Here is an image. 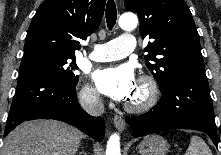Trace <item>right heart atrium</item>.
I'll use <instances>...</instances> for the list:
<instances>
[{"label":"right heart atrium","instance_id":"d8ad5b80","mask_svg":"<svg viewBox=\"0 0 221 155\" xmlns=\"http://www.w3.org/2000/svg\"><path fill=\"white\" fill-rule=\"evenodd\" d=\"M80 101L86 106H96L100 103L97 90L89 84L82 86L79 93Z\"/></svg>","mask_w":221,"mask_h":155}]
</instances>
